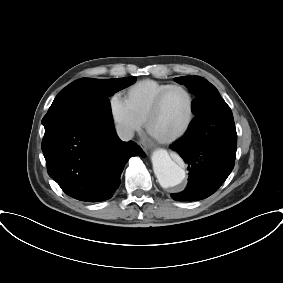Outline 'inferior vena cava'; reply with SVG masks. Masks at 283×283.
Returning a JSON list of instances; mask_svg holds the SVG:
<instances>
[{"mask_svg": "<svg viewBox=\"0 0 283 283\" xmlns=\"http://www.w3.org/2000/svg\"><path fill=\"white\" fill-rule=\"evenodd\" d=\"M116 131L122 141H129L134 136L133 130L125 125L118 124L116 126Z\"/></svg>", "mask_w": 283, "mask_h": 283, "instance_id": "602c4592", "label": "inferior vena cava"}]
</instances>
